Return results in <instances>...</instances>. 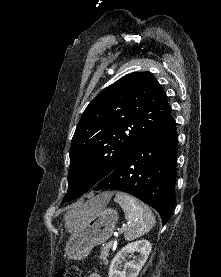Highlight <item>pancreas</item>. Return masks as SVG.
<instances>
[{
	"label": "pancreas",
	"mask_w": 221,
	"mask_h": 277,
	"mask_svg": "<svg viewBox=\"0 0 221 277\" xmlns=\"http://www.w3.org/2000/svg\"><path fill=\"white\" fill-rule=\"evenodd\" d=\"M108 254H109V249H106V248H103L101 250V254L99 256V259H101L102 261L100 262L101 264H106L107 263V257H108Z\"/></svg>",
	"instance_id": "obj_1"
}]
</instances>
